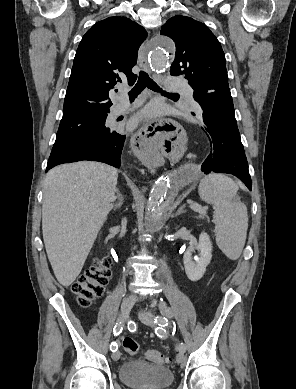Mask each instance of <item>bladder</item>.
Masks as SVG:
<instances>
[{
  "mask_svg": "<svg viewBox=\"0 0 296 389\" xmlns=\"http://www.w3.org/2000/svg\"><path fill=\"white\" fill-rule=\"evenodd\" d=\"M122 383L134 389H164L173 382L172 372L163 365L128 360L119 368Z\"/></svg>",
  "mask_w": 296,
  "mask_h": 389,
  "instance_id": "obj_1",
  "label": "bladder"
}]
</instances>
